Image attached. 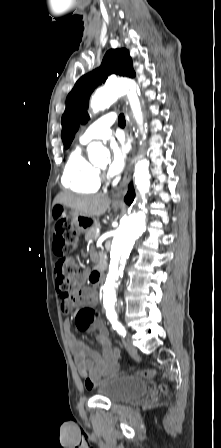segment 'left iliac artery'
<instances>
[{
  "label": "left iliac artery",
  "instance_id": "obj_1",
  "mask_svg": "<svg viewBox=\"0 0 221 448\" xmlns=\"http://www.w3.org/2000/svg\"><path fill=\"white\" fill-rule=\"evenodd\" d=\"M109 321L112 323L113 329H115L121 336H126V330L123 325L117 320V315L112 313L107 315Z\"/></svg>",
  "mask_w": 221,
  "mask_h": 448
}]
</instances>
